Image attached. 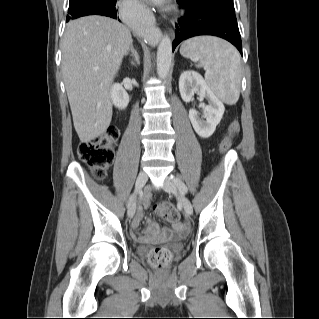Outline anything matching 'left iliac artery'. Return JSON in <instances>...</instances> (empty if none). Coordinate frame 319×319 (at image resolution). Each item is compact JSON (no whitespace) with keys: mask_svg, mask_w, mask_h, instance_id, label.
Instances as JSON below:
<instances>
[{"mask_svg":"<svg viewBox=\"0 0 319 319\" xmlns=\"http://www.w3.org/2000/svg\"><path fill=\"white\" fill-rule=\"evenodd\" d=\"M171 179L176 184L181 193H187L188 189L181 179L175 176H172Z\"/></svg>","mask_w":319,"mask_h":319,"instance_id":"obj_1","label":"left iliac artery"}]
</instances>
